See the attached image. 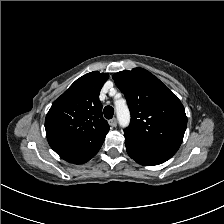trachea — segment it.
Segmentation results:
<instances>
[{"label":"trachea","mask_w":224,"mask_h":224,"mask_svg":"<svg viewBox=\"0 0 224 224\" xmlns=\"http://www.w3.org/2000/svg\"><path fill=\"white\" fill-rule=\"evenodd\" d=\"M103 112L106 119H111L114 115V108L111 106H106Z\"/></svg>","instance_id":"obj_1"}]
</instances>
